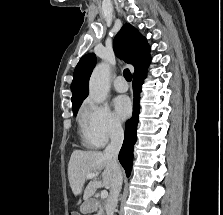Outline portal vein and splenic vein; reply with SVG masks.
<instances>
[{"label":"portal vein and splenic vein","instance_id":"18ae733b","mask_svg":"<svg viewBox=\"0 0 223 215\" xmlns=\"http://www.w3.org/2000/svg\"><path fill=\"white\" fill-rule=\"evenodd\" d=\"M96 175H98V173H88L87 177L88 179H91V177H96ZM108 195V191H106V189H103V191H101V197H107Z\"/></svg>","mask_w":223,"mask_h":215}]
</instances>
